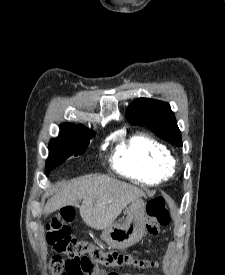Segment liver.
I'll return each mask as SVG.
<instances>
[{
    "label": "liver",
    "mask_w": 225,
    "mask_h": 275,
    "mask_svg": "<svg viewBox=\"0 0 225 275\" xmlns=\"http://www.w3.org/2000/svg\"><path fill=\"white\" fill-rule=\"evenodd\" d=\"M140 197H145L144 191L131 184L104 175L84 176L58 183L45 212L49 214L65 206H76L88 226L102 230L113 224L127 205Z\"/></svg>",
    "instance_id": "6515ba94"
}]
</instances>
